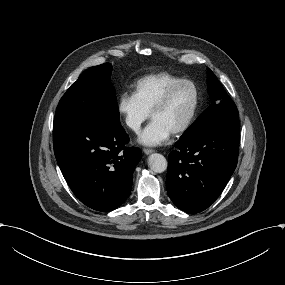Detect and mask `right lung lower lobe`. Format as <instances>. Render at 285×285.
I'll use <instances>...</instances> for the list:
<instances>
[{"mask_svg": "<svg viewBox=\"0 0 285 285\" xmlns=\"http://www.w3.org/2000/svg\"><path fill=\"white\" fill-rule=\"evenodd\" d=\"M120 123L88 119L54 120L57 163L75 196L97 211L118 208L129 196L141 151L126 147Z\"/></svg>", "mask_w": 285, "mask_h": 285, "instance_id": "obj_1", "label": "right lung lower lobe"}]
</instances>
